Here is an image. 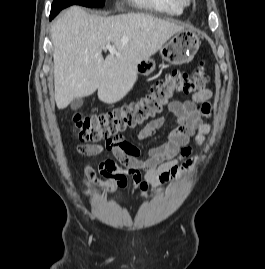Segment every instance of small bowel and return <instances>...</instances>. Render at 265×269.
I'll return each instance as SVG.
<instances>
[{"instance_id":"1","label":"small bowel","mask_w":265,"mask_h":269,"mask_svg":"<svg viewBox=\"0 0 265 269\" xmlns=\"http://www.w3.org/2000/svg\"><path fill=\"white\" fill-rule=\"evenodd\" d=\"M212 96L213 91L204 88L195 92L189 100L171 101L168 104L171 115L151 120L138 132V140L143 141L167 124H173L174 128L170 131L168 140L161 145L142 149L121 135L107 140L104 144L78 145L77 151L80 154L89 157L106 155V159L98 165L99 173L106 180H100L94 169L86 165L85 184L94 185L102 193H111L129 187L128 175L133 178V186H139L141 189H144L147 183L157 185L181 178L193 165L192 140L202 143L204 134L210 129L209 125L203 122V117L211 112ZM144 153L147 158L142 160L140 156Z\"/></svg>"}]
</instances>
